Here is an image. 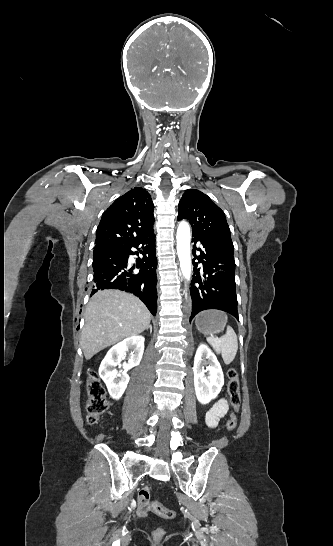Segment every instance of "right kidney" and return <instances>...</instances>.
<instances>
[{
  "label": "right kidney",
  "mask_w": 333,
  "mask_h": 546,
  "mask_svg": "<svg viewBox=\"0 0 333 546\" xmlns=\"http://www.w3.org/2000/svg\"><path fill=\"white\" fill-rule=\"evenodd\" d=\"M144 340L143 336L129 337L113 346L102 360L99 374L113 399L118 400L127 387L129 376L126 372L140 364L144 351ZM129 348H132L133 352L131 353L128 362L123 363L124 371L120 374L114 367L120 363L121 358L126 354V351ZM117 377H120V379L117 380Z\"/></svg>",
  "instance_id": "obj_1"
}]
</instances>
